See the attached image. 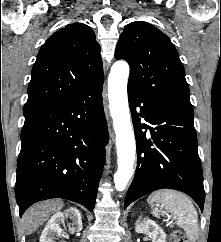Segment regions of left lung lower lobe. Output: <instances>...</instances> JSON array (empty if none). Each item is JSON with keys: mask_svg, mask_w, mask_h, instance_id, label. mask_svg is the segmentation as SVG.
Returning a JSON list of instances; mask_svg holds the SVG:
<instances>
[{"mask_svg": "<svg viewBox=\"0 0 221 242\" xmlns=\"http://www.w3.org/2000/svg\"><path fill=\"white\" fill-rule=\"evenodd\" d=\"M128 99L136 138L137 168L124 209L152 191L169 188L188 194L203 211V172L193 117L160 107L130 86ZM141 117L150 126L141 124Z\"/></svg>", "mask_w": 221, "mask_h": 242, "instance_id": "0a47b994", "label": "left lung lower lobe"}]
</instances>
